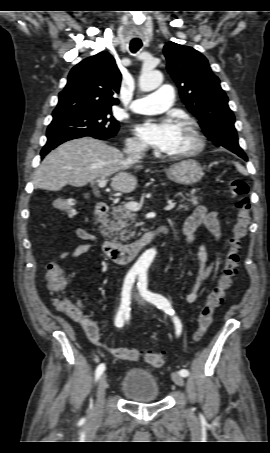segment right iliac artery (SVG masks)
Masks as SVG:
<instances>
[{"instance_id": "right-iliac-artery-1", "label": "right iliac artery", "mask_w": 270, "mask_h": 453, "mask_svg": "<svg viewBox=\"0 0 270 453\" xmlns=\"http://www.w3.org/2000/svg\"><path fill=\"white\" fill-rule=\"evenodd\" d=\"M137 272H129L125 278L123 289H122V299L121 305L118 310V313L115 318V325L116 327H122L124 324L123 316L130 311V303H131V289L134 284L135 278L137 276ZM105 370V364L101 363L98 365L96 372H95V379L98 380L102 373Z\"/></svg>"}]
</instances>
